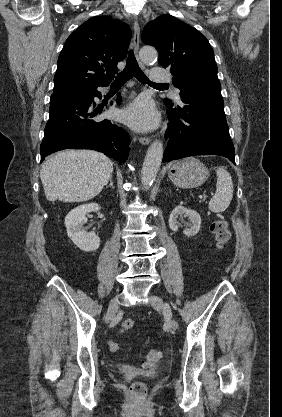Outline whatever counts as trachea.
<instances>
[{"label": "trachea", "instance_id": "1", "mask_svg": "<svg viewBox=\"0 0 282 417\" xmlns=\"http://www.w3.org/2000/svg\"><path fill=\"white\" fill-rule=\"evenodd\" d=\"M132 77L137 78L141 83H147L148 85H161V86H168V84L162 83H153L151 82L148 77L142 72L139 68L137 60L132 52V50L128 53V58L126 62V67L124 70L119 73L114 82L111 84L112 87H122L128 80Z\"/></svg>", "mask_w": 282, "mask_h": 417}]
</instances>
